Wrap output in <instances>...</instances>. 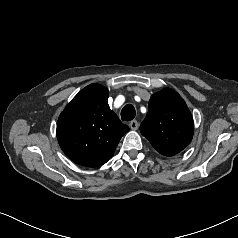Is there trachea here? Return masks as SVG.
<instances>
[{
  "label": "trachea",
  "instance_id": "1",
  "mask_svg": "<svg viewBox=\"0 0 238 238\" xmlns=\"http://www.w3.org/2000/svg\"><path fill=\"white\" fill-rule=\"evenodd\" d=\"M135 115V108L131 104L125 105L121 111V119L123 121H131L132 119H134Z\"/></svg>",
  "mask_w": 238,
  "mask_h": 238
}]
</instances>
